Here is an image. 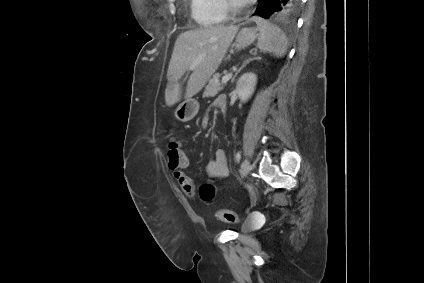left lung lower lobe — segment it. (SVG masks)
Listing matches in <instances>:
<instances>
[{
	"label": "left lung lower lobe",
	"instance_id": "1",
	"mask_svg": "<svg viewBox=\"0 0 424 283\" xmlns=\"http://www.w3.org/2000/svg\"><path fill=\"white\" fill-rule=\"evenodd\" d=\"M301 0H259L258 7L252 16L270 18L276 16H289L295 13Z\"/></svg>",
	"mask_w": 424,
	"mask_h": 283
}]
</instances>
